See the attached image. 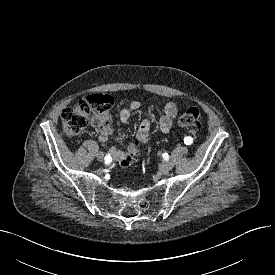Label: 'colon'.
Masks as SVG:
<instances>
[{"label":"colon","instance_id":"colon-1","mask_svg":"<svg viewBox=\"0 0 275 275\" xmlns=\"http://www.w3.org/2000/svg\"><path fill=\"white\" fill-rule=\"evenodd\" d=\"M113 100L108 95H92L80 100L75 106L63 110L61 118L63 131L67 137H76L86 127L90 120L96 123L109 119ZM179 126L183 128H199L202 125V111L197 107L188 108L179 118ZM136 157V156H135ZM121 163L128 166L134 159Z\"/></svg>","mask_w":275,"mask_h":275}]
</instances>
